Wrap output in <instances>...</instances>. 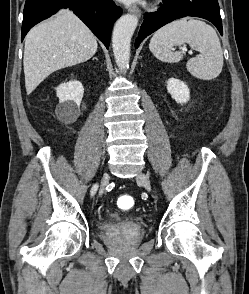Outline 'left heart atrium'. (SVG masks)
<instances>
[{
  "mask_svg": "<svg viewBox=\"0 0 249 294\" xmlns=\"http://www.w3.org/2000/svg\"><path fill=\"white\" fill-rule=\"evenodd\" d=\"M122 2H125V3H130V2H134V1H140V0H120Z\"/></svg>",
  "mask_w": 249,
  "mask_h": 294,
  "instance_id": "1",
  "label": "left heart atrium"
}]
</instances>
